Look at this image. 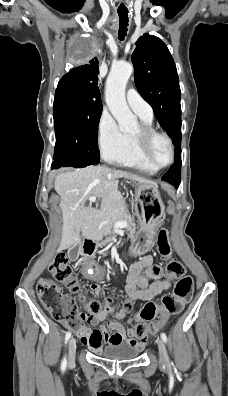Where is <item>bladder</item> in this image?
Here are the masks:
<instances>
[{"mask_svg": "<svg viewBox=\"0 0 228 396\" xmlns=\"http://www.w3.org/2000/svg\"><path fill=\"white\" fill-rule=\"evenodd\" d=\"M141 349L128 342L111 343L101 349L97 355L108 360L128 361L139 356Z\"/></svg>", "mask_w": 228, "mask_h": 396, "instance_id": "bladder-1", "label": "bladder"}]
</instances>
